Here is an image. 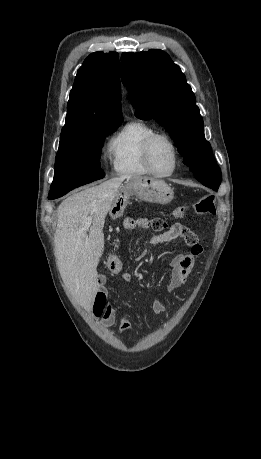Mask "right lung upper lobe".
<instances>
[{
  "label": "right lung upper lobe",
  "instance_id": "1",
  "mask_svg": "<svg viewBox=\"0 0 261 459\" xmlns=\"http://www.w3.org/2000/svg\"><path fill=\"white\" fill-rule=\"evenodd\" d=\"M119 58L115 52L90 54L70 91L61 140L102 124L121 123Z\"/></svg>",
  "mask_w": 261,
  "mask_h": 459
}]
</instances>
